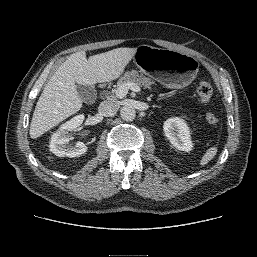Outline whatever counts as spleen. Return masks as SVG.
I'll list each match as a JSON object with an SVG mask.
<instances>
[{"mask_svg": "<svg viewBox=\"0 0 257 257\" xmlns=\"http://www.w3.org/2000/svg\"><path fill=\"white\" fill-rule=\"evenodd\" d=\"M217 151H218L217 147H211L207 149L205 154L200 160V166H205L206 164H208L209 161H211L215 157V155L217 154Z\"/></svg>", "mask_w": 257, "mask_h": 257, "instance_id": "spleen-1", "label": "spleen"}]
</instances>
